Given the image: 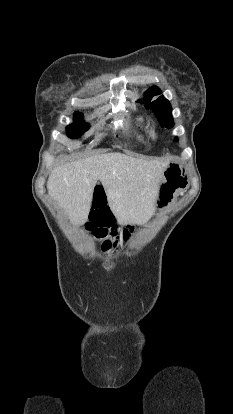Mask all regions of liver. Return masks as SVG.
Listing matches in <instances>:
<instances>
[{
    "label": "liver",
    "mask_w": 233,
    "mask_h": 414,
    "mask_svg": "<svg viewBox=\"0 0 233 414\" xmlns=\"http://www.w3.org/2000/svg\"><path fill=\"white\" fill-rule=\"evenodd\" d=\"M169 159H140L123 153H105L57 165L47 189L71 222L87 219L97 181L122 224L143 221L155 208L159 184Z\"/></svg>",
    "instance_id": "6515ba94"
}]
</instances>
